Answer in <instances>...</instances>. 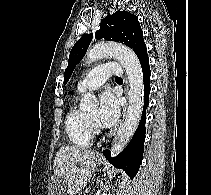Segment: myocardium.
<instances>
[{"label": "myocardium", "instance_id": "myocardium-1", "mask_svg": "<svg viewBox=\"0 0 211 195\" xmlns=\"http://www.w3.org/2000/svg\"><path fill=\"white\" fill-rule=\"evenodd\" d=\"M91 120L93 121L95 127L97 128V131L99 132L100 130H99V128H98V125H97V123H96L95 118L92 117Z\"/></svg>", "mask_w": 211, "mask_h": 195}]
</instances>
